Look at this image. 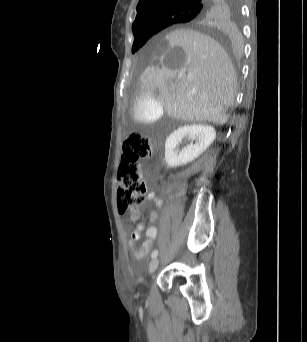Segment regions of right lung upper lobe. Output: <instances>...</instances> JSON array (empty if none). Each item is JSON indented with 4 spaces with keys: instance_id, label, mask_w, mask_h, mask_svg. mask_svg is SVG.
<instances>
[{
    "instance_id": "1",
    "label": "right lung upper lobe",
    "mask_w": 307,
    "mask_h": 342,
    "mask_svg": "<svg viewBox=\"0 0 307 342\" xmlns=\"http://www.w3.org/2000/svg\"><path fill=\"white\" fill-rule=\"evenodd\" d=\"M232 7L231 0H140L132 25L133 34L162 27L171 13L194 9L196 16L187 22L205 34L226 38L231 32Z\"/></svg>"
}]
</instances>
